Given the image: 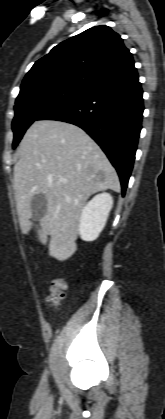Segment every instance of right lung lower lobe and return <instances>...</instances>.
Listing matches in <instances>:
<instances>
[{
	"label": "right lung lower lobe",
	"instance_id": "obj_1",
	"mask_svg": "<svg viewBox=\"0 0 165 419\" xmlns=\"http://www.w3.org/2000/svg\"><path fill=\"white\" fill-rule=\"evenodd\" d=\"M142 88L135 67L39 120L68 122L85 130L116 168L124 196L143 117Z\"/></svg>",
	"mask_w": 165,
	"mask_h": 419
}]
</instances>
